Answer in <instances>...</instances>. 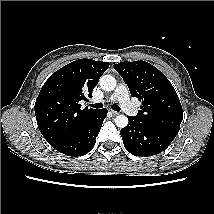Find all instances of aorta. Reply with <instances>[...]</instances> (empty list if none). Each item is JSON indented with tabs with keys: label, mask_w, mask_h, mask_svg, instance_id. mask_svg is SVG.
I'll list each match as a JSON object with an SVG mask.
<instances>
[{
	"label": "aorta",
	"mask_w": 214,
	"mask_h": 214,
	"mask_svg": "<svg viewBox=\"0 0 214 214\" xmlns=\"http://www.w3.org/2000/svg\"><path fill=\"white\" fill-rule=\"evenodd\" d=\"M99 84L104 91H113L116 88V79L111 75H103ZM115 124L119 128H125L128 125V118L125 115H118Z\"/></svg>",
	"instance_id": "1"
}]
</instances>
